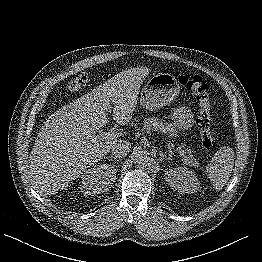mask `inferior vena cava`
Returning a JSON list of instances; mask_svg holds the SVG:
<instances>
[{"label":"inferior vena cava","instance_id":"inferior-vena-cava-1","mask_svg":"<svg viewBox=\"0 0 262 262\" xmlns=\"http://www.w3.org/2000/svg\"><path fill=\"white\" fill-rule=\"evenodd\" d=\"M111 150L115 157L122 158L129 154L131 144L128 141L119 140L112 145Z\"/></svg>","mask_w":262,"mask_h":262}]
</instances>
